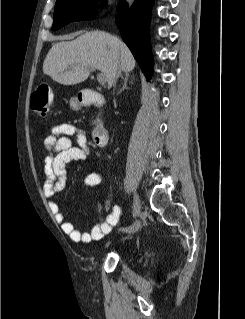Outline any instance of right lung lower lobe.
Returning <instances> with one entry per match:
<instances>
[{
    "label": "right lung lower lobe",
    "mask_w": 245,
    "mask_h": 319,
    "mask_svg": "<svg viewBox=\"0 0 245 319\" xmlns=\"http://www.w3.org/2000/svg\"><path fill=\"white\" fill-rule=\"evenodd\" d=\"M154 0H134L129 6L125 0L119 4L116 23L126 45L137 60L147 80L153 73L150 48V15Z\"/></svg>",
    "instance_id": "obj_1"
}]
</instances>
